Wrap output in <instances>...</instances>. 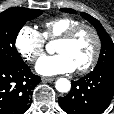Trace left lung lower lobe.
<instances>
[{"label":"left lung lower lobe","mask_w":114,"mask_h":114,"mask_svg":"<svg viewBox=\"0 0 114 114\" xmlns=\"http://www.w3.org/2000/svg\"><path fill=\"white\" fill-rule=\"evenodd\" d=\"M68 95L59 98L68 114H100L114 96V66L95 68L78 81H71Z\"/></svg>","instance_id":"obj_1"}]
</instances>
